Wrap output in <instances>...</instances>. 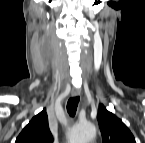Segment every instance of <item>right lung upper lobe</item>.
I'll use <instances>...</instances> for the list:
<instances>
[{
    "mask_svg": "<svg viewBox=\"0 0 145 143\" xmlns=\"http://www.w3.org/2000/svg\"><path fill=\"white\" fill-rule=\"evenodd\" d=\"M46 109L33 117L22 130L15 143H52Z\"/></svg>",
    "mask_w": 145,
    "mask_h": 143,
    "instance_id": "1",
    "label": "right lung upper lobe"
}]
</instances>
